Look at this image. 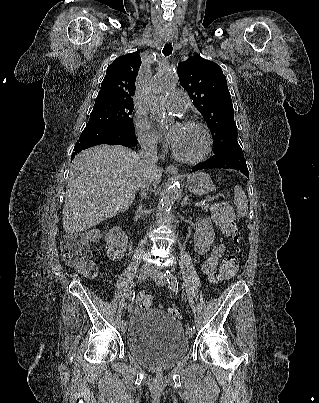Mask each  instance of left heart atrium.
Returning a JSON list of instances; mask_svg holds the SVG:
<instances>
[{
    "instance_id": "1",
    "label": "left heart atrium",
    "mask_w": 319,
    "mask_h": 403,
    "mask_svg": "<svg viewBox=\"0 0 319 403\" xmlns=\"http://www.w3.org/2000/svg\"><path fill=\"white\" fill-rule=\"evenodd\" d=\"M179 132H180V125H175L171 130H169L166 134H165V139L166 141L174 146V144L176 143L178 136H179Z\"/></svg>"
}]
</instances>
